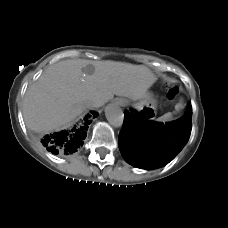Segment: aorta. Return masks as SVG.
Here are the masks:
<instances>
[{"mask_svg": "<svg viewBox=\"0 0 228 228\" xmlns=\"http://www.w3.org/2000/svg\"><path fill=\"white\" fill-rule=\"evenodd\" d=\"M105 116L112 126L121 127L123 125L124 114L118 105L109 104L105 108Z\"/></svg>", "mask_w": 228, "mask_h": 228, "instance_id": "aorta-1", "label": "aorta"}]
</instances>
